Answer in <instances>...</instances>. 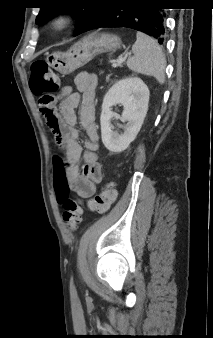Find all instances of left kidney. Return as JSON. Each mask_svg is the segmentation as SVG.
<instances>
[{
  "instance_id": "1",
  "label": "left kidney",
  "mask_w": 213,
  "mask_h": 338,
  "mask_svg": "<svg viewBox=\"0 0 213 338\" xmlns=\"http://www.w3.org/2000/svg\"><path fill=\"white\" fill-rule=\"evenodd\" d=\"M149 95L147 85L137 77L121 79L108 90L102 103L100 124L102 142L110 152L124 151L136 138L147 114ZM115 104L123 105L121 119L127 122L123 134L111 128V107Z\"/></svg>"
}]
</instances>
